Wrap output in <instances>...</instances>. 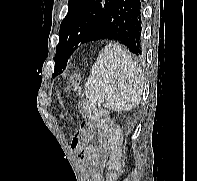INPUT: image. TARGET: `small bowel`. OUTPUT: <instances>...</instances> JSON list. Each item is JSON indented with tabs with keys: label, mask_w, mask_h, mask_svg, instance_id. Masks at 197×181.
<instances>
[{
	"label": "small bowel",
	"mask_w": 197,
	"mask_h": 181,
	"mask_svg": "<svg viewBox=\"0 0 197 181\" xmlns=\"http://www.w3.org/2000/svg\"><path fill=\"white\" fill-rule=\"evenodd\" d=\"M102 134L90 123L82 125L80 132L74 137V148L81 154L84 162L88 165V172L94 181H100L99 169L102 162L99 159L100 146L95 144V138Z\"/></svg>",
	"instance_id": "obj_1"
}]
</instances>
